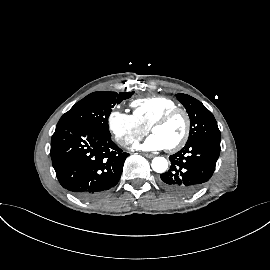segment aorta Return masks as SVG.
I'll return each mask as SVG.
<instances>
[{"label":"aorta","mask_w":270,"mask_h":270,"mask_svg":"<svg viewBox=\"0 0 270 270\" xmlns=\"http://www.w3.org/2000/svg\"><path fill=\"white\" fill-rule=\"evenodd\" d=\"M151 166L155 172L164 173L168 168V161L164 157H155Z\"/></svg>","instance_id":"aorta-1"}]
</instances>
